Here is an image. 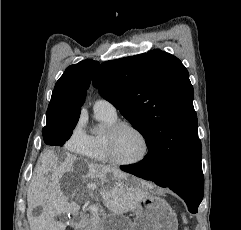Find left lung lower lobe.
Listing matches in <instances>:
<instances>
[{
  "label": "left lung lower lobe",
  "instance_id": "0a47b994",
  "mask_svg": "<svg viewBox=\"0 0 241 230\" xmlns=\"http://www.w3.org/2000/svg\"><path fill=\"white\" fill-rule=\"evenodd\" d=\"M170 167L169 157L161 146H156L149 149L144 160L134 165L121 166V170L153 181L161 187H169L185 200L191 213H197L204 192L201 159L192 162L175 182L170 180Z\"/></svg>",
  "mask_w": 241,
  "mask_h": 230
}]
</instances>
